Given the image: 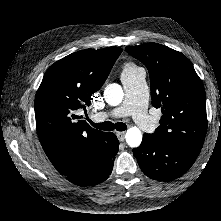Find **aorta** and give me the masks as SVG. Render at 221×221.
Masks as SVG:
<instances>
[{
  "label": "aorta",
  "mask_w": 221,
  "mask_h": 221,
  "mask_svg": "<svg viewBox=\"0 0 221 221\" xmlns=\"http://www.w3.org/2000/svg\"><path fill=\"white\" fill-rule=\"evenodd\" d=\"M124 97L122 87L117 83L108 84L104 90V99L110 106L119 105ZM127 144L132 147H138L142 142V133L136 126L130 127L125 135Z\"/></svg>",
  "instance_id": "762f6f07"
}]
</instances>
